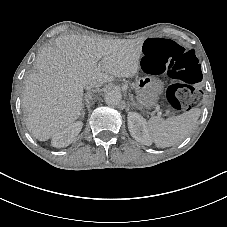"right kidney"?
I'll return each mask as SVG.
<instances>
[{"mask_svg":"<svg viewBox=\"0 0 227 227\" xmlns=\"http://www.w3.org/2000/svg\"><path fill=\"white\" fill-rule=\"evenodd\" d=\"M81 129H82L81 122L71 124L68 128L62 130L53 138L52 142L53 146L56 148L68 146L70 143L74 141V138L78 135Z\"/></svg>","mask_w":227,"mask_h":227,"instance_id":"ca27d5eb","label":"right kidney"}]
</instances>
